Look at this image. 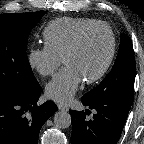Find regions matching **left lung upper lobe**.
Segmentation results:
<instances>
[{
  "mask_svg": "<svg viewBox=\"0 0 144 144\" xmlns=\"http://www.w3.org/2000/svg\"><path fill=\"white\" fill-rule=\"evenodd\" d=\"M135 77V57L132 41L121 34L118 56L111 72L94 89L82 98L96 100L111 96L133 102Z\"/></svg>",
  "mask_w": 144,
  "mask_h": 144,
  "instance_id": "5c2ea615",
  "label": "left lung upper lobe"
}]
</instances>
